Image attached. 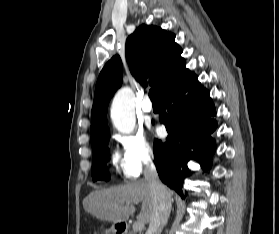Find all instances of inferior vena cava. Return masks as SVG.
Masks as SVG:
<instances>
[{"label": "inferior vena cava", "instance_id": "1", "mask_svg": "<svg viewBox=\"0 0 279 234\" xmlns=\"http://www.w3.org/2000/svg\"><path fill=\"white\" fill-rule=\"evenodd\" d=\"M144 177L150 185L153 198V214L146 234H161L171 211V196L159 180L156 167L152 161L146 164Z\"/></svg>", "mask_w": 279, "mask_h": 234}]
</instances>
